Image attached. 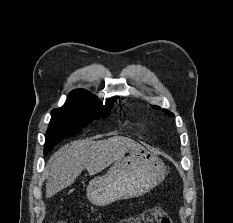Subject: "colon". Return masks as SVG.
I'll return each instance as SVG.
<instances>
[{
    "instance_id": "colon-1",
    "label": "colon",
    "mask_w": 233,
    "mask_h": 223,
    "mask_svg": "<svg viewBox=\"0 0 233 223\" xmlns=\"http://www.w3.org/2000/svg\"><path fill=\"white\" fill-rule=\"evenodd\" d=\"M148 218L151 223H173L172 219L159 208L151 210ZM127 222L129 223L130 221Z\"/></svg>"
}]
</instances>
